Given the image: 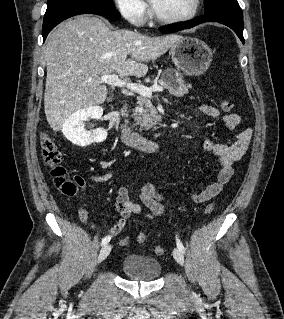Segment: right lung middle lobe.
I'll list each match as a JSON object with an SVG mask.
<instances>
[{
  "label": "right lung middle lobe",
  "instance_id": "1",
  "mask_svg": "<svg viewBox=\"0 0 284 319\" xmlns=\"http://www.w3.org/2000/svg\"><path fill=\"white\" fill-rule=\"evenodd\" d=\"M112 0H48L44 20L71 9L113 8Z\"/></svg>",
  "mask_w": 284,
  "mask_h": 319
}]
</instances>
